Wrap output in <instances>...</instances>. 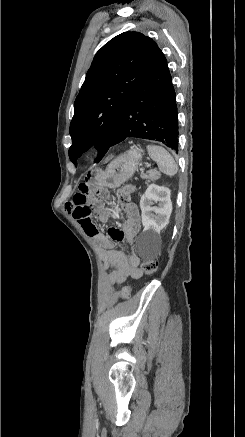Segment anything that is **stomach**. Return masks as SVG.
<instances>
[{
	"label": "stomach",
	"mask_w": 245,
	"mask_h": 437,
	"mask_svg": "<svg viewBox=\"0 0 245 437\" xmlns=\"http://www.w3.org/2000/svg\"><path fill=\"white\" fill-rule=\"evenodd\" d=\"M141 152L131 149L114 159L105 172H92L88 175L87 183L91 188H117L132 177L141 161Z\"/></svg>",
	"instance_id": "0dacf381"
}]
</instances>
